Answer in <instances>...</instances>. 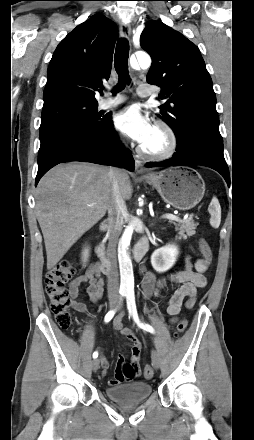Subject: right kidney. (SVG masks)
I'll use <instances>...</instances> for the list:
<instances>
[{"label":"right kidney","mask_w":254,"mask_h":440,"mask_svg":"<svg viewBox=\"0 0 254 440\" xmlns=\"http://www.w3.org/2000/svg\"><path fill=\"white\" fill-rule=\"evenodd\" d=\"M88 255H89V250H88V249H85L84 252H83V258H84V260H86V259L88 258Z\"/></svg>","instance_id":"obj_1"}]
</instances>
